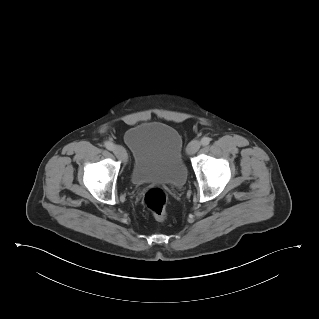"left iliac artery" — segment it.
<instances>
[{"instance_id":"left-iliac-artery-1","label":"left iliac artery","mask_w":319,"mask_h":319,"mask_svg":"<svg viewBox=\"0 0 319 319\" xmlns=\"http://www.w3.org/2000/svg\"><path fill=\"white\" fill-rule=\"evenodd\" d=\"M209 143H210V138H209V137H203V138L201 139V144H202L203 146H207Z\"/></svg>"}]
</instances>
